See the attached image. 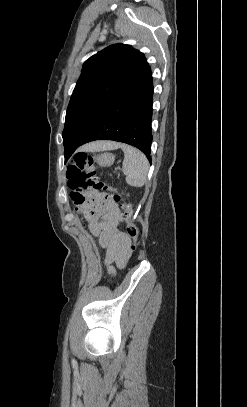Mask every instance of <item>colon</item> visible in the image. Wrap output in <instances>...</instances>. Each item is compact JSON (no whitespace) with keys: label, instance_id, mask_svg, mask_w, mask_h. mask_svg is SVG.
<instances>
[{"label":"colon","instance_id":"5ec220e1","mask_svg":"<svg viewBox=\"0 0 247 407\" xmlns=\"http://www.w3.org/2000/svg\"><path fill=\"white\" fill-rule=\"evenodd\" d=\"M68 186L72 191V199L76 204L85 201L84 193L88 191H109L114 201L122 200V195L114 188L104 182L94 164V159L87 153H78L73 158L67 169ZM122 219L126 222L127 235L131 239L130 253L136 249L140 230L132 220L131 206L124 202L122 204Z\"/></svg>","mask_w":247,"mask_h":407}]
</instances>
